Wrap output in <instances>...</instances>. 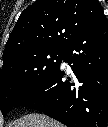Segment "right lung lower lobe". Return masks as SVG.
<instances>
[{
	"mask_svg": "<svg viewBox=\"0 0 108 127\" xmlns=\"http://www.w3.org/2000/svg\"><path fill=\"white\" fill-rule=\"evenodd\" d=\"M73 76L60 66L18 106L45 113L68 127H104L108 122V21L76 37L64 50Z\"/></svg>",
	"mask_w": 108,
	"mask_h": 127,
	"instance_id": "1",
	"label": "right lung lower lobe"
}]
</instances>
